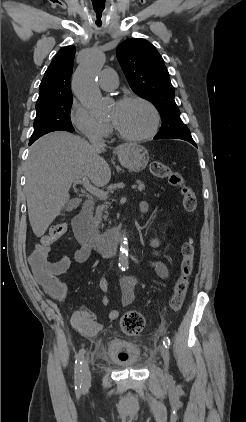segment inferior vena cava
<instances>
[{"instance_id": "602c4592", "label": "inferior vena cava", "mask_w": 246, "mask_h": 422, "mask_svg": "<svg viewBox=\"0 0 246 422\" xmlns=\"http://www.w3.org/2000/svg\"><path fill=\"white\" fill-rule=\"evenodd\" d=\"M89 140L93 147L101 148L105 146L103 139L99 136H90Z\"/></svg>"}]
</instances>
